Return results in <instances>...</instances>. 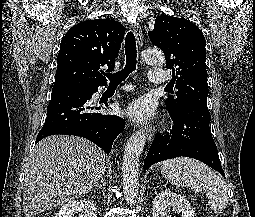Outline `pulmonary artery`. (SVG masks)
Segmentation results:
<instances>
[{"label":"pulmonary artery","instance_id":"pulmonary-artery-1","mask_svg":"<svg viewBox=\"0 0 255 217\" xmlns=\"http://www.w3.org/2000/svg\"><path fill=\"white\" fill-rule=\"evenodd\" d=\"M148 78L153 83L165 84L168 80V75L161 69H151Z\"/></svg>","mask_w":255,"mask_h":217}]
</instances>
